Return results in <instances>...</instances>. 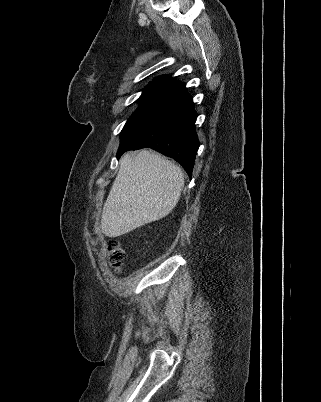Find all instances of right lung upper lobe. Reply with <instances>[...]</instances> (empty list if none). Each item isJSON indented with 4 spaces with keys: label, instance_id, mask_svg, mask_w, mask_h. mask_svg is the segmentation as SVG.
I'll use <instances>...</instances> for the list:
<instances>
[{
    "label": "right lung upper lobe",
    "instance_id": "cb5924a9",
    "mask_svg": "<svg viewBox=\"0 0 321 402\" xmlns=\"http://www.w3.org/2000/svg\"><path fill=\"white\" fill-rule=\"evenodd\" d=\"M150 84L165 85V86H169V87L175 88V87H177L178 85H180L181 82L176 81V80H174V79H172V78H169V77H167V75H162V76H159V77L155 78L153 81H151V82L149 83V85H150Z\"/></svg>",
    "mask_w": 321,
    "mask_h": 402
}]
</instances>
